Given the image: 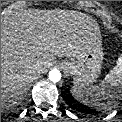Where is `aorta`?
I'll use <instances>...</instances> for the list:
<instances>
[{
    "instance_id": "aorta-1",
    "label": "aorta",
    "mask_w": 122,
    "mask_h": 122,
    "mask_svg": "<svg viewBox=\"0 0 122 122\" xmlns=\"http://www.w3.org/2000/svg\"><path fill=\"white\" fill-rule=\"evenodd\" d=\"M61 79V73L59 70L57 69H52L50 72H49V80L56 83V82H59Z\"/></svg>"
}]
</instances>
